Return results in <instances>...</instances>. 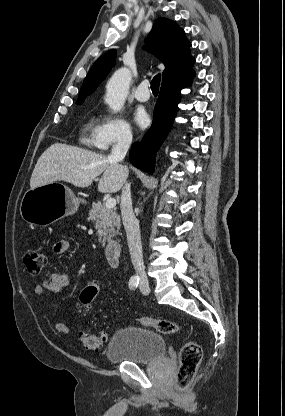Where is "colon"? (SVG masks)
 Instances as JSON below:
<instances>
[{"mask_svg": "<svg viewBox=\"0 0 285 416\" xmlns=\"http://www.w3.org/2000/svg\"><path fill=\"white\" fill-rule=\"evenodd\" d=\"M24 264L29 274L39 275L45 265V257L36 250H29L23 256ZM100 287L96 283L87 285L80 293L79 304L82 309H89L98 296ZM137 322L144 327H151L163 334H175L179 331L178 323L170 320L139 318ZM79 344L86 350L99 351L105 343L103 333H95L89 329L81 330L77 335ZM203 358V351L196 342L188 341L181 348L179 369L175 378V387L179 391L186 390L191 384L196 370Z\"/></svg>", "mask_w": 285, "mask_h": 416, "instance_id": "colon-1", "label": "colon"}]
</instances>
